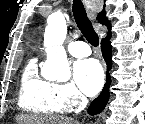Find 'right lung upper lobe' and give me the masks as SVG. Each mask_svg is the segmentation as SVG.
Listing matches in <instances>:
<instances>
[{
  "instance_id": "cb5924a9",
  "label": "right lung upper lobe",
  "mask_w": 145,
  "mask_h": 124,
  "mask_svg": "<svg viewBox=\"0 0 145 124\" xmlns=\"http://www.w3.org/2000/svg\"><path fill=\"white\" fill-rule=\"evenodd\" d=\"M97 20H98V22L105 24V25H107L108 28H110L109 21L107 20V18L105 16V6L103 8V11L98 14Z\"/></svg>"
}]
</instances>
